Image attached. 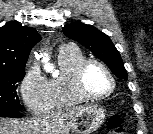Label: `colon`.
<instances>
[{
  "label": "colon",
  "instance_id": "obj_1",
  "mask_svg": "<svg viewBox=\"0 0 153 134\" xmlns=\"http://www.w3.org/2000/svg\"><path fill=\"white\" fill-rule=\"evenodd\" d=\"M108 130L111 134H127V130L122 126L119 115H113L108 121Z\"/></svg>",
  "mask_w": 153,
  "mask_h": 134
}]
</instances>
